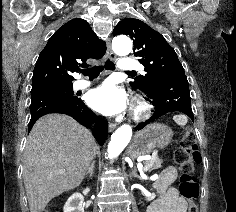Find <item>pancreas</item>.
Returning <instances> with one entry per match:
<instances>
[{
  "label": "pancreas",
  "mask_w": 236,
  "mask_h": 212,
  "mask_svg": "<svg viewBox=\"0 0 236 212\" xmlns=\"http://www.w3.org/2000/svg\"><path fill=\"white\" fill-rule=\"evenodd\" d=\"M162 160L155 156L153 159L146 161L145 165H148V169L144 171H152L154 169H159L161 168Z\"/></svg>",
  "instance_id": "cf45deb5"
}]
</instances>
